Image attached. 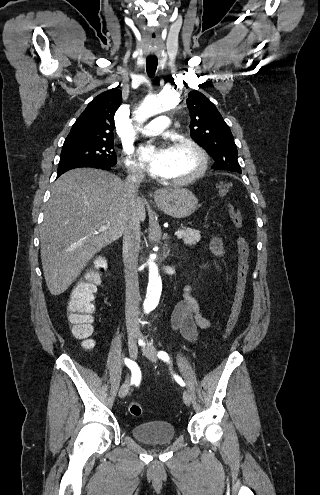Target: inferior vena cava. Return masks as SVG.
I'll return each instance as SVG.
<instances>
[{"label": "inferior vena cava", "mask_w": 320, "mask_h": 495, "mask_svg": "<svg viewBox=\"0 0 320 495\" xmlns=\"http://www.w3.org/2000/svg\"><path fill=\"white\" fill-rule=\"evenodd\" d=\"M144 178L139 168L131 169L125 181L129 201L128 216L123 236V257L125 267L126 303L125 316L128 331H139V283H138V247L140 243V221L133 203L138 188Z\"/></svg>", "instance_id": "obj_1"}]
</instances>
